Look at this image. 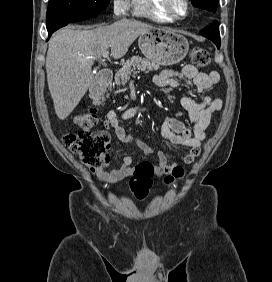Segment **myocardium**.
Returning a JSON list of instances; mask_svg holds the SVG:
<instances>
[{"label":"myocardium","mask_w":272,"mask_h":282,"mask_svg":"<svg viewBox=\"0 0 272 282\" xmlns=\"http://www.w3.org/2000/svg\"><path fill=\"white\" fill-rule=\"evenodd\" d=\"M176 2H181L183 4L184 10L182 13H178L175 10L174 4ZM160 6L171 18L175 20L185 18L190 12V3L188 0H161Z\"/></svg>","instance_id":"f54148a6"}]
</instances>
